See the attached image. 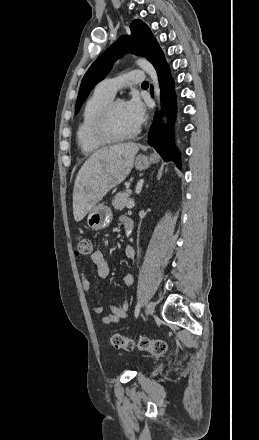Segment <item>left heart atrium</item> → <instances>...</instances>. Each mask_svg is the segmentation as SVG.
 I'll return each mask as SVG.
<instances>
[{
	"label": "left heart atrium",
	"instance_id": "left-heart-atrium-1",
	"mask_svg": "<svg viewBox=\"0 0 259 440\" xmlns=\"http://www.w3.org/2000/svg\"><path fill=\"white\" fill-rule=\"evenodd\" d=\"M125 110L131 121L139 127L146 119V107L138 96H132L125 102Z\"/></svg>",
	"mask_w": 259,
	"mask_h": 440
}]
</instances>
